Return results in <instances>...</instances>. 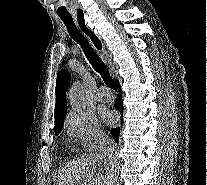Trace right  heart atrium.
<instances>
[{
    "label": "right heart atrium",
    "instance_id": "right-heart-atrium-1",
    "mask_svg": "<svg viewBox=\"0 0 207 185\" xmlns=\"http://www.w3.org/2000/svg\"><path fill=\"white\" fill-rule=\"evenodd\" d=\"M64 126L71 139L86 151L96 150L105 139L95 114L85 109L69 111Z\"/></svg>",
    "mask_w": 207,
    "mask_h": 185
}]
</instances>
